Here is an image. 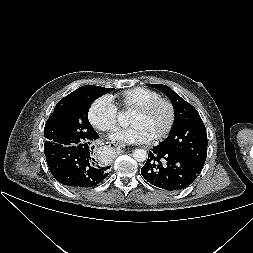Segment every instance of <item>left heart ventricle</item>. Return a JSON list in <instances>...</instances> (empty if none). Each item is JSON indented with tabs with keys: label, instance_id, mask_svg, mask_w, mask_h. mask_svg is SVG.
<instances>
[{
	"label": "left heart ventricle",
	"instance_id": "b2bd125f",
	"mask_svg": "<svg viewBox=\"0 0 253 253\" xmlns=\"http://www.w3.org/2000/svg\"><path fill=\"white\" fill-rule=\"evenodd\" d=\"M168 121L169 110L165 105H158L148 113L133 112L131 115V124L144 126L153 137L163 131Z\"/></svg>",
	"mask_w": 253,
	"mask_h": 253
}]
</instances>
